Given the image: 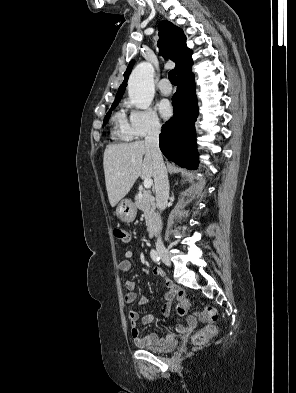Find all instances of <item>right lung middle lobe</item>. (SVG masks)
<instances>
[{"label":"right lung middle lobe","mask_w":296,"mask_h":393,"mask_svg":"<svg viewBox=\"0 0 296 393\" xmlns=\"http://www.w3.org/2000/svg\"><path fill=\"white\" fill-rule=\"evenodd\" d=\"M118 103H119V101H115V102H113V104H112V106H111V108H110V110H109V112L106 114V116H105V119H104V122H103V125H105L106 124V122L108 121V119H109V117H110V115H111V111L118 105Z\"/></svg>","instance_id":"dd1d6c3e"}]
</instances>
